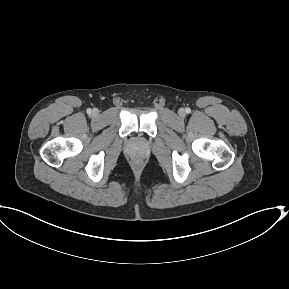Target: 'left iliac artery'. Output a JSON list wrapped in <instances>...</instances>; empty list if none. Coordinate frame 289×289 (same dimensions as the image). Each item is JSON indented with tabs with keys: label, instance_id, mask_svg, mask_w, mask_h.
<instances>
[{
	"label": "left iliac artery",
	"instance_id": "left-iliac-artery-1",
	"mask_svg": "<svg viewBox=\"0 0 289 289\" xmlns=\"http://www.w3.org/2000/svg\"><path fill=\"white\" fill-rule=\"evenodd\" d=\"M185 111H186L187 114H189L191 112V109L190 108H186Z\"/></svg>",
	"mask_w": 289,
	"mask_h": 289
}]
</instances>
